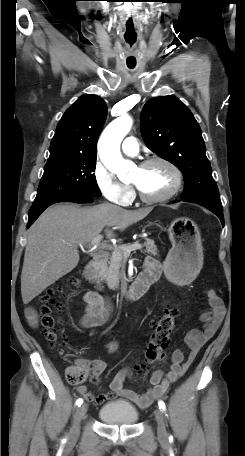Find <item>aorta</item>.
<instances>
[{"label": "aorta", "instance_id": "762f6f07", "mask_svg": "<svg viewBox=\"0 0 245 456\" xmlns=\"http://www.w3.org/2000/svg\"><path fill=\"white\" fill-rule=\"evenodd\" d=\"M132 119L123 115L112 121L103 131L98 142V152L104 166L120 179L132 166V162L122 157L120 144L132 127Z\"/></svg>", "mask_w": 245, "mask_h": 456}]
</instances>
